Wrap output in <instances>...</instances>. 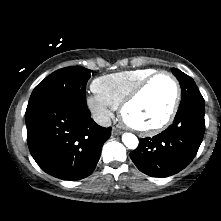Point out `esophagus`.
Listing matches in <instances>:
<instances>
[{
  "label": "esophagus",
  "mask_w": 221,
  "mask_h": 221,
  "mask_svg": "<svg viewBox=\"0 0 221 221\" xmlns=\"http://www.w3.org/2000/svg\"><path fill=\"white\" fill-rule=\"evenodd\" d=\"M122 133V131L116 127L112 128V134L113 135H120Z\"/></svg>",
  "instance_id": "esophagus-1"
}]
</instances>
